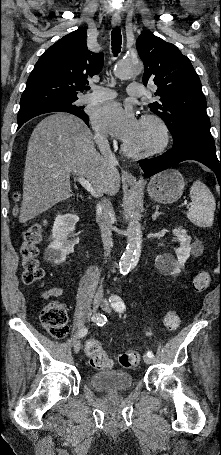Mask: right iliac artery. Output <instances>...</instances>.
I'll use <instances>...</instances> for the list:
<instances>
[{
    "mask_svg": "<svg viewBox=\"0 0 221 455\" xmlns=\"http://www.w3.org/2000/svg\"><path fill=\"white\" fill-rule=\"evenodd\" d=\"M92 321L99 326H103L105 324L106 317L103 314L97 313L92 316ZM87 331L88 330L86 328H82L78 334L79 338L84 337L87 334Z\"/></svg>",
    "mask_w": 221,
    "mask_h": 455,
    "instance_id": "obj_1",
    "label": "right iliac artery"
}]
</instances>
